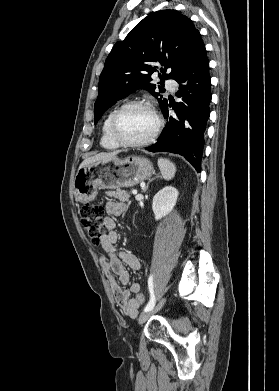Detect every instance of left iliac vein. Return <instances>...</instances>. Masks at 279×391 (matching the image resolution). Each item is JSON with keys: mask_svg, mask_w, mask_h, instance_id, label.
I'll use <instances>...</instances> for the list:
<instances>
[{"mask_svg": "<svg viewBox=\"0 0 279 391\" xmlns=\"http://www.w3.org/2000/svg\"><path fill=\"white\" fill-rule=\"evenodd\" d=\"M165 302H166V297L162 298L157 303V305L154 306L151 310L142 313L139 316V318H138V323L139 324H143L144 322H146L153 314L157 313L159 310L162 309V307L164 306Z\"/></svg>", "mask_w": 279, "mask_h": 391, "instance_id": "1", "label": "left iliac vein"}]
</instances>
